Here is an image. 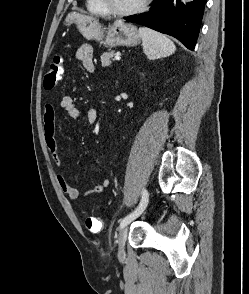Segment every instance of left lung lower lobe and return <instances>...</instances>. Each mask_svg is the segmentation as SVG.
Masks as SVG:
<instances>
[{
	"label": "left lung lower lobe",
	"instance_id": "0a47b994",
	"mask_svg": "<svg viewBox=\"0 0 249 294\" xmlns=\"http://www.w3.org/2000/svg\"><path fill=\"white\" fill-rule=\"evenodd\" d=\"M206 1L194 0L185 6L179 0H153L150 11L125 20L171 35L194 50Z\"/></svg>",
	"mask_w": 249,
	"mask_h": 294
}]
</instances>
